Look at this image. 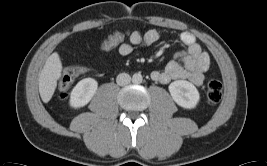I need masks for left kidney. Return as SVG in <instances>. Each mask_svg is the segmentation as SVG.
<instances>
[{"instance_id": "left-kidney-1", "label": "left kidney", "mask_w": 267, "mask_h": 166, "mask_svg": "<svg viewBox=\"0 0 267 166\" xmlns=\"http://www.w3.org/2000/svg\"><path fill=\"white\" fill-rule=\"evenodd\" d=\"M173 100L181 107L193 109L200 100L197 88L186 80H177L169 85Z\"/></svg>"}]
</instances>
